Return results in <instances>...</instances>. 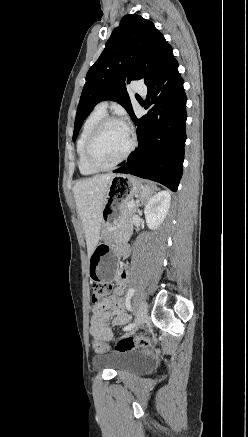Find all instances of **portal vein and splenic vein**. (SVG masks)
I'll return each mask as SVG.
<instances>
[{"label":"portal vein and splenic vein","mask_w":248,"mask_h":437,"mask_svg":"<svg viewBox=\"0 0 248 437\" xmlns=\"http://www.w3.org/2000/svg\"><path fill=\"white\" fill-rule=\"evenodd\" d=\"M128 206H129V207L134 206V203H133V202H130V203H128Z\"/></svg>","instance_id":"obj_1"}]
</instances>
